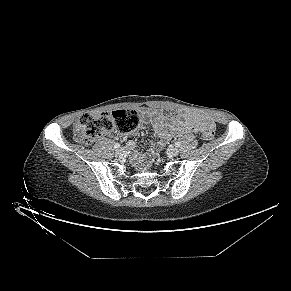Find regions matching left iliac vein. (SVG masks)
<instances>
[{
    "label": "left iliac vein",
    "mask_w": 291,
    "mask_h": 291,
    "mask_svg": "<svg viewBox=\"0 0 291 291\" xmlns=\"http://www.w3.org/2000/svg\"><path fill=\"white\" fill-rule=\"evenodd\" d=\"M179 153V150L176 148V147H170L168 148L167 150V154L170 156V157H175L177 156Z\"/></svg>",
    "instance_id": "1"
}]
</instances>
